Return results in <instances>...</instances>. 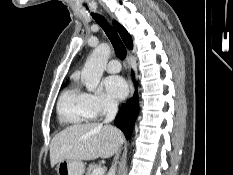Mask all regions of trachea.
Segmentation results:
<instances>
[{"instance_id":"3493384b","label":"trachea","mask_w":233,"mask_h":175,"mask_svg":"<svg viewBox=\"0 0 233 175\" xmlns=\"http://www.w3.org/2000/svg\"><path fill=\"white\" fill-rule=\"evenodd\" d=\"M95 21L102 27L109 40L111 41L114 51L120 59H125L127 55L126 48L117 32L110 26L107 20L98 14H92Z\"/></svg>"}]
</instances>
